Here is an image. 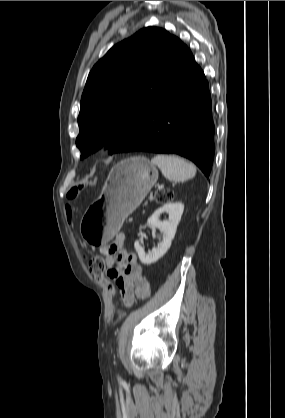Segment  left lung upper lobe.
<instances>
[{"mask_svg":"<svg viewBox=\"0 0 285 418\" xmlns=\"http://www.w3.org/2000/svg\"><path fill=\"white\" fill-rule=\"evenodd\" d=\"M185 44L147 27L114 45L89 73L80 103L76 145L81 159L109 147L124 152L140 134L177 68Z\"/></svg>","mask_w":285,"mask_h":418,"instance_id":"obj_1","label":"left lung upper lobe"}]
</instances>
